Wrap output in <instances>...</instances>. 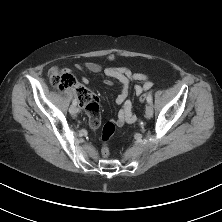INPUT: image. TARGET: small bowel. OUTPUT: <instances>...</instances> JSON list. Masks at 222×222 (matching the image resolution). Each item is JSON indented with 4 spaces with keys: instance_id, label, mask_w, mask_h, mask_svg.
<instances>
[{
    "instance_id": "small-bowel-1",
    "label": "small bowel",
    "mask_w": 222,
    "mask_h": 222,
    "mask_svg": "<svg viewBox=\"0 0 222 222\" xmlns=\"http://www.w3.org/2000/svg\"><path fill=\"white\" fill-rule=\"evenodd\" d=\"M107 59L109 61H113L115 57L113 55H109ZM76 68L78 70H86L94 74L103 73L106 76L104 83L107 85H111L113 80L118 81L121 84V91L116 97L115 101L118 105H121V108L118 112L117 118L115 119L114 123L118 127H122L125 124H132L136 122L137 118L132 110V102L128 98L129 88L132 81L138 82L139 84L135 86V93L138 96L142 95L144 92L151 89L152 82L149 80L146 74L133 73L130 69L126 67L103 69L101 64L97 62H87L85 64H77ZM52 71H58V70L56 67H53L50 69V72ZM62 72H67V70H62ZM82 82L84 84H88L89 79L87 77H82ZM88 115H89L90 127L92 129H97L101 122L99 112L88 113Z\"/></svg>"
}]
</instances>
